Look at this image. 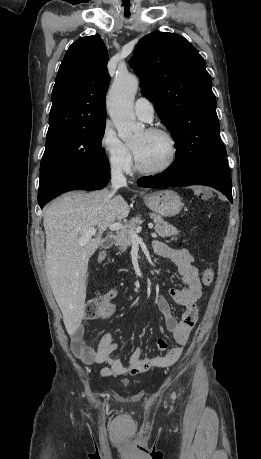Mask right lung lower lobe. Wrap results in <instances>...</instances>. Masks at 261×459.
I'll return each instance as SVG.
<instances>
[{
	"mask_svg": "<svg viewBox=\"0 0 261 459\" xmlns=\"http://www.w3.org/2000/svg\"><path fill=\"white\" fill-rule=\"evenodd\" d=\"M110 180L109 172H82L65 177L53 184L47 192L38 197L41 208L58 195L71 190H98Z\"/></svg>",
	"mask_w": 261,
	"mask_h": 459,
	"instance_id": "1",
	"label": "right lung lower lobe"
}]
</instances>
